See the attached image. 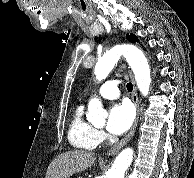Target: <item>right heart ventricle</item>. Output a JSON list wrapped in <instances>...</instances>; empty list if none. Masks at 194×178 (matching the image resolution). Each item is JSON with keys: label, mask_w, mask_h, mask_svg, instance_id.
<instances>
[{"label": "right heart ventricle", "mask_w": 194, "mask_h": 178, "mask_svg": "<svg viewBox=\"0 0 194 178\" xmlns=\"http://www.w3.org/2000/svg\"><path fill=\"white\" fill-rule=\"evenodd\" d=\"M68 140L78 149L91 150L98 145L96 129L84 118V106L79 105L74 110L69 128Z\"/></svg>", "instance_id": "e07e8e85"}]
</instances>
